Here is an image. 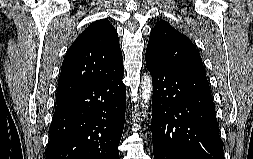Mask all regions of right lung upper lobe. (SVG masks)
Returning a JSON list of instances; mask_svg holds the SVG:
<instances>
[{"label":"right lung upper lobe","instance_id":"obj_1","mask_svg":"<svg viewBox=\"0 0 253 159\" xmlns=\"http://www.w3.org/2000/svg\"><path fill=\"white\" fill-rule=\"evenodd\" d=\"M123 69L118 34L113 25L107 19L93 22L73 42L63 60L57 104Z\"/></svg>","mask_w":253,"mask_h":159}]
</instances>
